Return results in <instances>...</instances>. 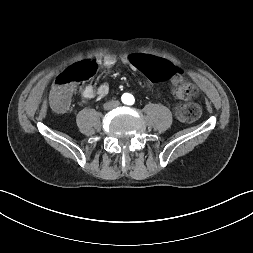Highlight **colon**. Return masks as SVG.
<instances>
[{
    "mask_svg": "<svg viewBox=\"0 0 253 253\" xmlns=\"http://www.w3.org/2000/svg\"><path fill=\"white\" fill-rule=\"evenodd\" d=\"M129 61L151 79L171 77L175 66L164 59H157L148 53H132ZM97 63L87 60L74 64L55 80L52 88V103L57 110H66L69 106L71 87L74 83L90 79L97 71ZM196 93V88L190 83L180 82L174 88V94L179 99H189ZM177 116L182 122H193L201 116V108L195 103L182 104L177 109Z\"/></svg>",
    "mask_w": 253,
    "mask_h": 253,
    "instance_id": "obj_1",
    "label": "colon"
}]
</instances>
